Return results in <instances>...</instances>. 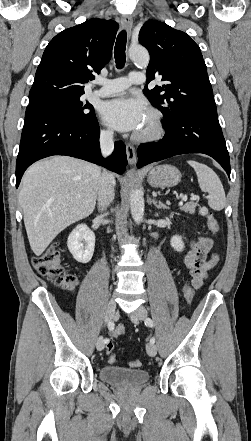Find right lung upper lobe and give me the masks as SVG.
I'll use <instances>...</instances> for the list:
<instances>
[{
  "mask_svg": "<svg viewBox=\"0 0 251 441\" xmlns=\"http://www.w3.org/2000/svg\"><path fill=\"white\" fill-rule=\"evenodd\" d=\"M118 28L113 20L94 18L56 35L37 68L29 103L55 95L84 94V84L110 60Z\"/></svg>",
  "mask_w": 251,
  "mask_h": 441,
  "instance_id": "cb5924a9",
  "label": "right lung upper lobe"
}]
</instances>
